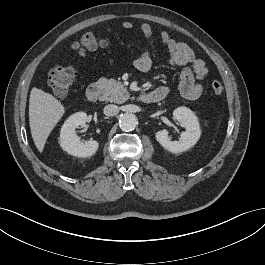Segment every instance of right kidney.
<instances>
[{"label": "right kidney", "instance_id": "1", "mask_svg": "<svg viewBox=\"0 0 265 265\" xmlns=\"http://www.w3.org/2000/svg\"><path fill=\"white\" fill-rule=\"evenodd\" d=\"M87 121L85 112H77L71 115L63 124L59 144L64 151L76 157H89L96 153L99 143L94 140L83 143L76 134V129Z\"/></svg>", "mask_w": 265, "mask_h": 265}]
</instances>
